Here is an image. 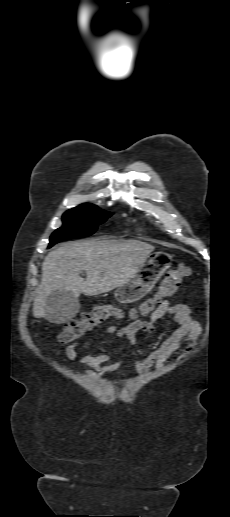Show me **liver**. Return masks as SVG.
Returning a JSON list of instances; mask_svg holds the SVG:
<instances>
[{"instance_id":"6515ba94","label":"liver","mask_w":230,"mask_h":517,"mask_svg":"<svg viewBox=\"0 0 230 517\" xmlns=\"http://www.w3.org/2000/svg\"><path fill=\"white\" fill-rule=\"evenodd\" d=\"M153 250L136 240H85L56 248L42 263L33 316L46 317L45 302L55 291L66 290L78 298L81 293L93 296L124 285ZM83 271L86 280L80 276Z\"/></svg>"}]
</instances>
